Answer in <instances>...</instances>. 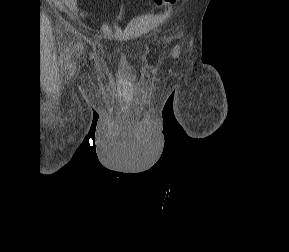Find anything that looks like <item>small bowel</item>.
I'll return each instance as SVG.
<instances>
[{
    "instance_id": "1",
    "label": "small bowel",
    "mask_w": 289,
    "mask_h": 252,
    "mask_svg": "<svg viewBox=\"0 0 289 252\" xmlns=\"http://www.w3.org/2000/svg\"><path fill=\"white\" fill-rule=\"evenodd\" d=\"M64 4L66 5V7L72 11V12H76L77 11V5H78V0H63Z\"/></svg>"
}]
</instances>
